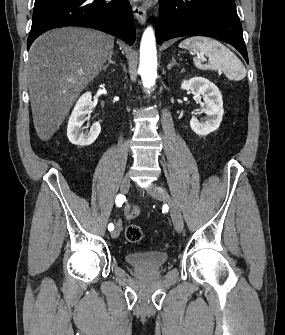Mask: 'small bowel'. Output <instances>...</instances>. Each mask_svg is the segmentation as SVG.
I'll list each match as a JSON object with an SVG mask.
<instances>
[{"label":"small bowel","instance_id":"c3829d8e","mask_svg":"<svg viewBox=\"0 0 285 335\" xmlns=\"http://www.w3.org/2000/svg\"><path fill=\"white\" fill-rule=\"evenodd\" d=\"M139 214V208L137 206H132L127 212H126V217L128 219H133L137 217Z\"/></svg>","mask_w":285,"mask_h":335}]
</instances>
